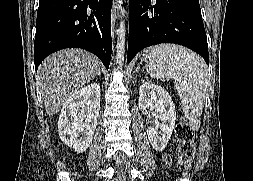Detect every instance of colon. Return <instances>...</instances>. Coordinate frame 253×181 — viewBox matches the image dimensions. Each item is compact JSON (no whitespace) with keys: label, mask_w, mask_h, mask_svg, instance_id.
<instances>
[{"label":"colon","mask_w":253,"mask_h":181,"mask_svg":"<svg viewBox=\"0 0 253 181\" xmlns=\"http://www.w3.org/2000/svg\"><path fill=\"white\" fill-rule=\"evenodd\" d=\"M178 140L179 164L187 168L195 153L194 131L186 122H180L175 130Z\"/></svg>","instance_id":"obj_1"}]
</instances>
